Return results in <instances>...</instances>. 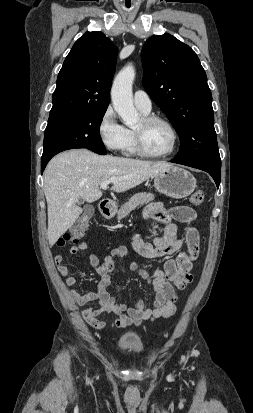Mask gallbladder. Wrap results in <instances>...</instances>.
<instances>
[{
    "label": "gallbladder",
    "instance_id": "gallbladder-1",
    "mask_svg": "<svg viewBox=\"0 0 253 413\" xmlns=\"http://www.w3.org/2000/svg\"><path fill=\"white\" fill-rule=\"evenodd\" d=\"M82 203H83V200L79 199L78 204H82Z\"/></svg>",
    "mask_w": 253,
    "mask_h": 413
}]
</instances>
